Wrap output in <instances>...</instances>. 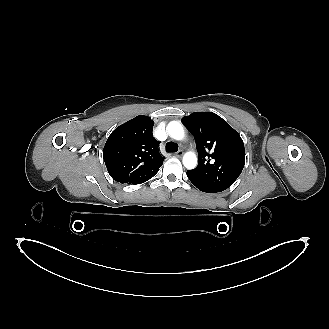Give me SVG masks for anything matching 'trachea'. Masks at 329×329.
Instances as JSON below:
<instances>
[{
  "label": "trachea",
  "mask_w": 329,
  "mask_h": 329,
  "mask_svg": "<svg viewBox=\"0 0 329 329\" xmlns=\"http://www.w3.org/2000/svg\"><path fill=\"white\" fill-rule=\"evenodd\" d=\"M166 151L167 152H177L178 151V146L172 142H168L166 144Z\"/></svg>",
  "instance_id": "1"
}]
</instances>
